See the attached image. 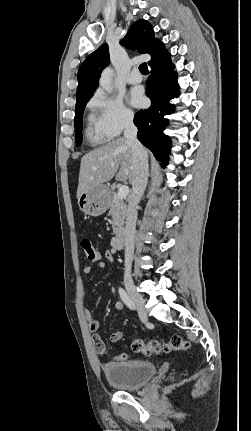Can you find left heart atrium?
I'll return each mask as SVG.
<instances>
[{
  "label": "left heart atrium",
  "instance_id": "1",
  "mask_svg": "<svg viewBox=\"0 0 251 431\" xmlns=\"http://www.w3.org/2000/svg\"><path fill=\"white\" fill-rule=\"evenodd\" d=\"M129 100L135 107H141L145 103V98L140 90H133L130 94Z\"/></svg>",
  "mask_w": 251,
  "mask_h": 431
}]
</instances>
